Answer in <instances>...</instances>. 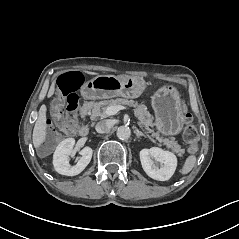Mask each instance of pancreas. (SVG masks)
I'll return each instance as SVG.
<instances>
[{
  "instance_id": "1",
  "label": "pancreas",
  "mask_w": 239,
  "mask_h": 239,
  "mask_svg": "<svg viewBox=\"0 0 239 239\" xmlns=\"http://www.w3.org/2000/svg\"><path fill=\"white\" fill-rule=\"evenodd\" d=\"M129 105L135 109L136 114L139 116L142 124L145 125V128L152 134L153 130L149 127L152 125L151 114L147 110V107L144 103H139L136 100H128L126 98H116L108 101L93 102L91 110V119L96 120L98 117H105V109L109 106H123ZM164 144L167 146L168 150L177 155H181L185 152L182 148L183 146L178 144L175 140L169 141L168 139L164 140Z\"/></svg>"
}]
</instances>
